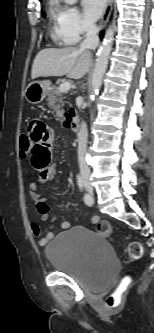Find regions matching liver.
<instances>
[{"label":"liver","instance_id":"1","mask_svg":"<svg viewBox=\"0 0 154 333\" xmlns=\"http://www.w3.org/2000/svg\"><path fill=\"white\" fill-rule=\"evenodd\" d=\"M91 65V53L77 47L45 48L36 55L31 78L68 75L82 78Z\"/></svg>","mask_w":154,"mask_h":333}]
</instances>
